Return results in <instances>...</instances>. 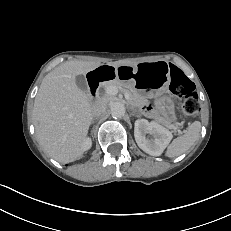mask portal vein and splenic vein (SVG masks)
I'll return each instance as SVG.
<instances>
[{
    "mask_svg": "<svg viewBox=\"0 0 231 231\" xmlns=\"http://www.w3.org/2000/svg\"><path fill=\"white\" fill-rule=\"evenodd\" d=\"M118 93V89L115 86H109L106 88V94L108 95H116ZM124 96L127 100H129L130 96L128 93H124Z\"/></svg>",
    "mask_w": 231,
    "mask_h": 231,
    "instance_id": "obj_1",
    "label": "portal vein and splenic vein"
}]
</instances>
